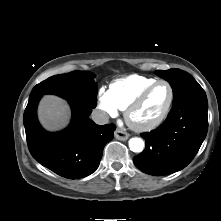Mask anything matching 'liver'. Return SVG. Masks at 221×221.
<instances>
[{"label": "liver", "instance_id": "liver-1", "mask_svg": "<svg viewBox=\"0 0 221 221\" xmlns=\"http://www.w3.org/2000/svg\"><path fill=\"white\" fill-rule=\"evenodd\" d=\"M71 111L67 102L55 95H45L38 106V118L48 131H58L70 121Z\"/></svg>", "mask_w": 221, "mask_h": 221}]
</instances>
